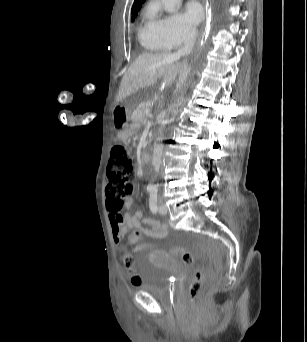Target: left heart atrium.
<instances>
[{"label": "left heart atrium", "mask_w": 307, "mask_h": 342, "mask_svg": "<svg viewBox=\"0 0 307 342\" xmlns=\"http://www.w3.org/2000/svg\"><path fill=\"white\" fill-rule=\"evenodd\" d=\"M202 7L195 2L189 3L182 14L183 24L189 29L190 33L203 19ZM187 37V36H186ZM189 39V38H187Z\"/></svg>", "instance_id": "1"}]
</instances>
